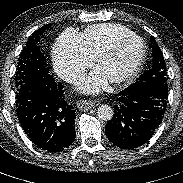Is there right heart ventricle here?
<instances>
[{
	"instance_id": "obj_1",
	"label": "right heart ventricle",
	"mask_w": 183,
	"mask_h": 183,
	"mask_svg": "<svg viewBox=\"0 0 183 183\" xmlns=\"http://www.w3.org/2000/svg\"><path fill=\"white\" fill-rule=\"evenodd\" d=\"M135 35L130 29L119 24H99L85 29L80 35L84 49L92 58H97L121 38Z\"/></svg>"
}]
</instances>
